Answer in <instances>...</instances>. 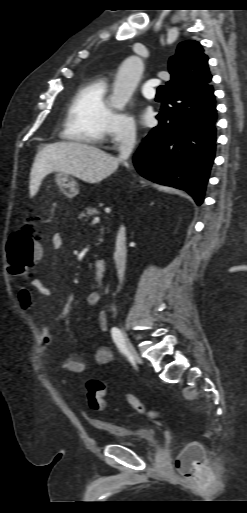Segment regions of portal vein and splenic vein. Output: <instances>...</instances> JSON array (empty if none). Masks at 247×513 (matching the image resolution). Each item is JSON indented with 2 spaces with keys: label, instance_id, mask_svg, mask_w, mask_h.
Returning a JSON list of instances; mask_svg holds the SVG:
<instances>
[{
  "label": "portal vein and splenic vein",
  "instance_id": "obj_1",
  "mask_svg": "<svg viewBox=\"0 0 247 513\" xmlns=\"http://www.w3.org/2000/svg\"><path fill=\"white\" fill-rule=\"evenodd\" d=\"M100 221L99 217H95L92 221V224L98 223Z\"/></svg>",
  "mask_w": 247,
  "mask_h": 513
}]
</instances>
